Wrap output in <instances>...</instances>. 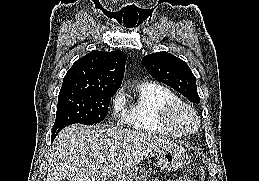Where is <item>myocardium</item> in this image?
I'll return each instance as SVG.
<instances>
[{"label": "myocardium", "mask_w": 259, "mask_h": 181, "mask_svg": "<svg viewBox=\"0 0 259 181\" xmlns=\"http://www.w3.org/2000/svg\"><path fill=\"white\" fill-rule=\"evenodd\" d=\"M186 112L191 118V125H185L180 114ZM164 120L172 128L178 130L184 135L194 134L199 130L200 118L196 110L189 103L183 100H176L170 103L164 111Z\"/></svg>", "instance_id": "1"}]
</instances>
